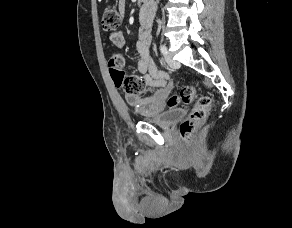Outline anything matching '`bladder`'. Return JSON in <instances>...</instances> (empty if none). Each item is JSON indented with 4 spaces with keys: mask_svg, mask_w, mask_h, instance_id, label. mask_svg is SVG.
<instances>
[{
    "mask_svg": "<svg viewBox=\"0 0 292 228\" xmlns=\"http://www.w3.org/2000/svg\"><path fill=\"white\" fill-rule=\"evenodd\" d=\"M185 114V110L182 108H175L170 109L167 111H164L162 113H159L157 115L153 116H146L143 118L144 121L158 125L163 128L170 127L173 123L178 121L180 118H182Z\"/></svg>",
    "mask_w": 292,
    "mask_h": 228,
    "instance_id": "bladder-1",
    "label": "bladder"
}]
</instances>
